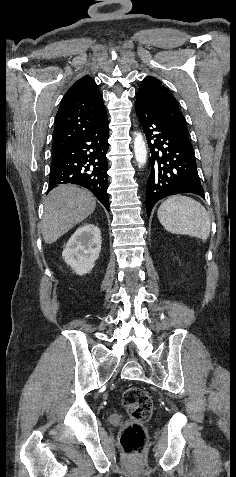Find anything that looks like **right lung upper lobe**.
I'll return each mask as SVG.
<instances>
[{"instance_id":"1","label":"right lung upper lobe","mask_w":236,"mask_h":477,"mask_svg":"<svg viewBox=\"0 0 236 477\" xmlns=\"http://www.w3.org/2000/svg\"><path fill=\"white\" fill-rule=\"evenodd\" d=\"M108 120L103 98L95 81L84 76L62 99L55 119L54 154L71 146Z\"/></svg>"}]
</instances>
